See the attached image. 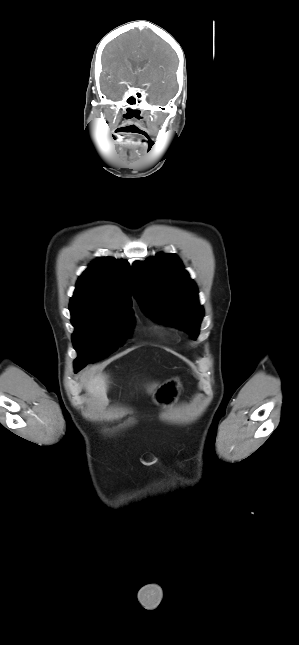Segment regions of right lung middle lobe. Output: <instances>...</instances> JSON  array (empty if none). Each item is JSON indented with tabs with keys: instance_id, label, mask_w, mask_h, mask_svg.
Returning a JSON list of instances; mask_svg holds the SVG:
<instances>
[{
	"instance_id": "obj_1",
	"label": "right lung middle lobe",
	"mask_w": 299,
	"mask_h": 645,
	"mask_svg": "<svg viewBox=\"0 0 299 645\" xmlns=\"http://www.w3.org/2000/svg\"><path fill=\"white\" fill-rule=\"evenodd\" d=\"M71 322L75 328L72 341L78 358L75 372L86 364L99 360L120 347L130 336L134 326L129 309L71 308Z\"/></svg>"
}]
</instances>
